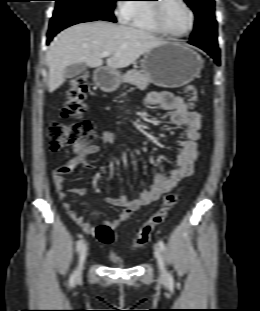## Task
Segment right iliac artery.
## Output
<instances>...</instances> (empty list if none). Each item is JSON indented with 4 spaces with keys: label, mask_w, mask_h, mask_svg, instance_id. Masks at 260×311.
I'll return each mask as SVG.
<instances>
[{
    "label": "right iliac artery",
    "mask_w": 260,
    "mask_h": 311,
    "mask_svg": "<svg viewBox=\"0 0 260 311\" xmlns=\"http://www.w3.org/2000/svg\"><path fill=\"white\" fill-rule=\"evenodd\" d=\"M83 245H84V240H83V239H81V240H79V241L77 242L76 249H77L78 252L81 250V248L83 247ZM75 277H76V272L74 271V272L71 274V276H70V283H73V282H74Z\"/></svg>",
    "instance_id": "obj_1"
}]
</instances>
